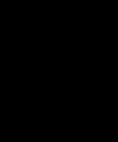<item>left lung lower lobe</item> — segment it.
I'll use <instances>...</instances> for the list:
<instances>
[{"label": "left lung lower lobe", "mask_w": 118, "mask_h": 142, "mask_svg": "<svg viewBox=\"0 0 118 142\" xmlns=\"http://www.w3.org/2000/svg\"><path fill=\"white\" fill-rule=\"evenodd\" d=\"M60 122L63 130L78 140L76 142H85L82 140L92 139L101 133L100 130L94 129L71 109L60 117Z\"/></svg>", "instance_id": "0a47b994"}]
</instances>
